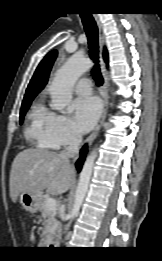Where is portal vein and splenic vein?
Returning a JSON list of instances; mask_svg holds the SVG:
<instances>
[{"label":"portal vein and splenic vein","mask_w":162,"mask_h":261,"mask_svg":"<svg viewBox=\"0 0 162 261\" xmlns=\"http://www.w3.org/2000/svg\"><path fill=\"white\" fill-rule=\"evenodd\" d=\"M57 202L54 198H48L46 201V208L50 211H55Z\"/></svg>","instance_id":"18ae733b"}]
</instances>
